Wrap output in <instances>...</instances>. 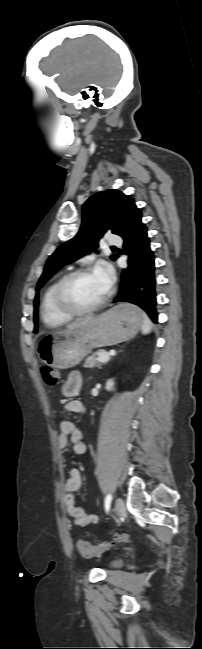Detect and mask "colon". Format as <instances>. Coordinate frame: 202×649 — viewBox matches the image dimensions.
I'll return each instance as SVG.
<instances>
[{"instance_id": "5ec220e1", "label": "colon", "mask_w": 202, "mask_h": 649, "mask_svg": "<svg viewBox=\"0 0 202 649\" xmlns=\"http://www.w3.org/2000/svg\"><path fill=\"white\" fill-rule=\"evenodd\" d=\"M40 374L44 383L48 386H56L60 382L59 372L52 367L43 366L40 369ZM123 539L124 538L122 535H118L113 541L104 540L99 542L98 544H90L86 541L81 540L78 542V550L84 558H91L108 549L113 544V542L123 541Z\"/></svg>"}]
</instances>
